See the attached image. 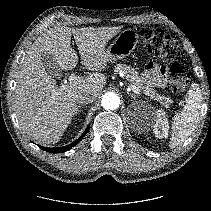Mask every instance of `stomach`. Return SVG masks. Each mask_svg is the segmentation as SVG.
I'll list each match as a JSON object with an SVG mask.
<instances>
[{
    "mask_svg": "<svg viewBox=\"0 0 211 211\" xmlns=\"http://www.w3.org/2000/svg\"><path fill=\"white\" fill-rule=\"evenodd\" d=\"M139 36L133 29H125L119 33L115 40L106 49L110 61H116L129 56L136 48Z\"/></svg>",
    "mask_w": 211,
    "mask_h": 211,
    "instance_id": "obj_1",
    "label": "stomach"
}]
</instances>
